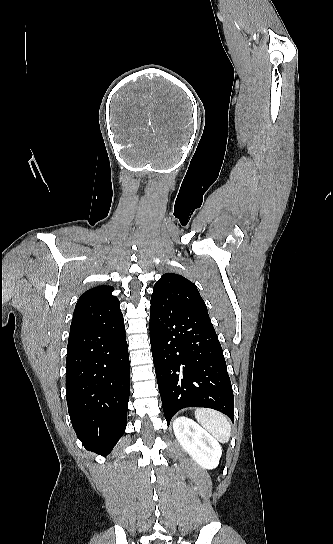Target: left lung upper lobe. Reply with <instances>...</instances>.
I'll list each match as a JSON object with an SVG mask.
<instances>
[{
	"label": "left lung upper lobe",
	"mask_w": 333,
	"mask_h": 544,
	"mask_svg": "<svg viewBox=\"0 0 333 544\" xmlns=\"http://www.w3.org/2000/svg\"><path fill=\"white\" fill-rule=\"evenodd\" d=\"M152 301L158 304L179 303L207 311L196 285L185 277L174 273L162 275L160 280L155 283Z\"/></svg>",
	"instance_id": "obj_1"
}]
</instances>
